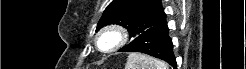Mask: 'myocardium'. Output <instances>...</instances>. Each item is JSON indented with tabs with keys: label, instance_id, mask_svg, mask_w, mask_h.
I'll use <instances>...</instances> for the list:
<instances>
[{
	"label": "myocardium",
	"instance_id": "f54148a6",
	"mask_svg": "<svg viewBox=\"0 0 246 69\" xmlns=\"http://www.w3.org/2000/svg\"><path fill=\"white\" fill-rule=\"evenodd\" d=\"M105 37H110L112 38V41H114V45L110 47L109 49L105 50V53H110L113 51H116L123 47L127 40H128V33L127 31L122 28L121 26L117 25H111L103 28L96 36L95 42L96 46L101 49L103 39Z\"/></svg>",
	"mask_w": 246,
	"mask_h": 69
}]
</instances>
